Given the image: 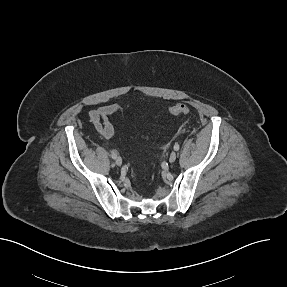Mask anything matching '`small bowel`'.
Wrapping results in <instances>:
<instances>
[{
    "label": "small bowel",
    "instance_id": "c3829d8e",
    "mask_svg": "<svg viewBox=\"0 0 287 287\" xmlns=\"http://www.w3.org/2000/svg\"><path fill=\"white\" fill-rule=\"evenodd\" d=\"M121 110L118 104H107L91 110L88 114L96 131L105 139H111L117 135L118 129L108 120V117L117 114Z\"/></svg>",
    "mask_w": 287,
    "mask_h": 287
}]
</instances>
